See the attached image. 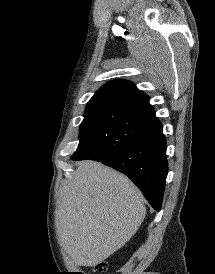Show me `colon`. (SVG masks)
Masks as SVG:
<instances>
[{
  "label": "colon",
  "mask_w": 215,
  "mask_h": 274,
  "mask_svg": "<svg viewBox=\"0 0 215 274\" xmlns=\"http://www.w3.org/2000/svg\"><path fill=\"white\" fill-rule=\"evenodd\" d=\"M106 268V265L104 263H101L97 266V270L98 271H104Z\"/></svg>",
  "instance_id": "colon-1"
}]
</instances>
